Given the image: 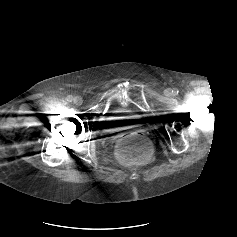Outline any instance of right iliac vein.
Here are the masks:
<instances>
[{"label": "right iliac vein", "instance_id": "obj_1", "mask_svg": "<svg viewBox=\"0 0 237 237\" xmlns=\"http://www.w3.org/2000/svg\"><path fill=\"white\" fill-rule=\"evenodd\" d=\"M83 103V99L80 96L74 98V104L80 106Z\"/></svg>", "mask_w": 237, "mask_h": 237}]
</instances>
